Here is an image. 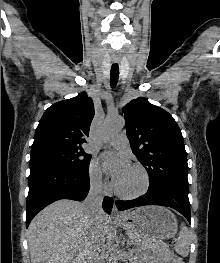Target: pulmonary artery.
<instances>
[{"label":"pulmonary artery","instance_id":"obj_1","mask_svg":"<svg viewBox=\"0 0 220 263\" xmlns=\"http://www.w3.org/2000/svg\"><path fill=\"white\" fill-rule=\"evenodd\" d=\"M110 145L116 148H122L127 146L128 138L125 133H119L109 140Z\"/></svg>","mask_w":220,"mask_h":263}]
</instances>
